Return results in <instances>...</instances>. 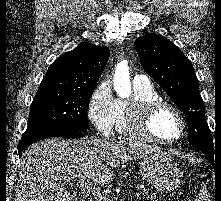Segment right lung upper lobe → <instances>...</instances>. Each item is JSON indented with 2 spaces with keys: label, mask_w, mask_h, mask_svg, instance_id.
<instances>
[{
  "label": "right lung upper lobe",
  "mask_w": 221,
  "mask_h": 201,
  "mask_svg": "<svg viewBox=\"0 0 221 201\" xmlns=\"http://www.w3.org/2000/svg\"><path fill=\"white\" fill-rule=\"evenodd\" d=\"M108 59L109 48L82 42L76 49L61 55L51 64L39 90H94Z\"/></svg>",
  "instance_id": "right-lung-upper-lobe-1"
}]
</instances>
